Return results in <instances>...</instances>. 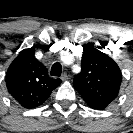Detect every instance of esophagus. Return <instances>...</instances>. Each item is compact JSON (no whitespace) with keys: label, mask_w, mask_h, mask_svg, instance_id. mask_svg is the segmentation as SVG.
Instances as JSON below:
<instances>
[{"label":"esophagus","mask_w":133,"mask_h":133,"mask_svg":"<svg viewBox=\"0 0 133 133\" xmlns=\"http://www.w3.org/2000/svg\"><path fill=\"white\" fill-rule=\"evenodd\" d=\"M68 75H67V73H63L62 75H61V80L62 81H66V80H68Z\"/></svg>","instance_id":"esophagus-1"}]
</instances>
